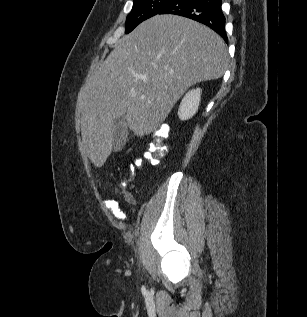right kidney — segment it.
I'll return each instance as SVG.
<instances>
[{
	"mask_svg": "<svg viewBox=\"0 0 307 317\" xmlns=\"http://www.w3.org/2000/svg\"><path fill=\"white\" fill-rule=\"evenodd\" d=\"M201 92L200 88H196L186 93L178 109L180 120H188L196 114L200 104Z\"/></svg>",
	"mask_w": 307,
	"mask_h": 317,
	"instance_id": "right-kidney-1",
	"label": "right kidney"
}]
</instances>
